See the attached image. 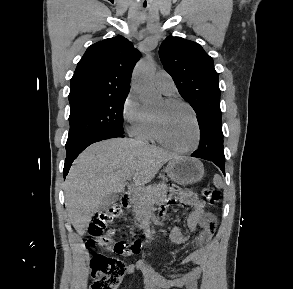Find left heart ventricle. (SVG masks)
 Returning a JSON list of instances; mask_svg holds the SVG:
<instances>
[{"mask_svg":"<svg viewBox=\"0 0 293 289\" xmlns=\"http://www.w3.org/2000/svg\"><path fill=\"white\" fill-rule=\"evenodd\" d=\"M164 138L178 148L190 147L195 140V124L191 112L183 105L164 101L153 111Z\"/></svg>","mask_w":293,"mask_h":289,"instance_id":"obj_1","label":"left heart ventricle"}]
</instances>
